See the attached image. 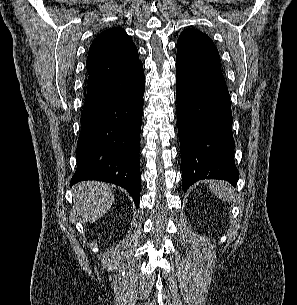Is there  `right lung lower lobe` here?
<instances>
[{
	"label": "right lung lower lobe",
	"instance_id": "obj_1",
	"mask_svg": "<svg viewBox=\"0 0 297 305\" xmlns=\"http://www.w3.org/2000/svg\"><path fill=\"white\" fill-rule=\"evenodd\" d=\"M144 88L141 62L128 73L87 89L71 186L83 180L113 183L125 188L139 206Z\"/></svg>",
	"mask_w": 297,
	"mask_h": 305
}]
</instances>
